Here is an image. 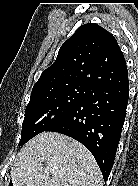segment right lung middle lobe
<instances>
[{"instance_id": "dd1d6c3e", "label": "right lung middle lobe", "mask_w": 138, "mask_h": 186, "mask_svg": "<svg viewBox=\"0 0 138 186\" xmlns=\"http://www.w3.org/2000/svg\"><path fill=\"white\" fill-rule=\"evenodd\" d=\"M89 88L69 85L31 94L25 110L19 146L60 121L85 98Z\"/></svg>"}]
</instances>
